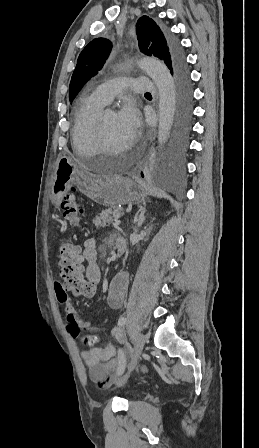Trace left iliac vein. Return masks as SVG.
Masks as SVG:
<instances>
[{
    "instance_id": "1",
    "label": "left iliac vein",
    "mask_w": 259,
    "mask_h": 448,
    "mask_svg": "<svg viewBox=\"0 0 259 448\" xmlns=\"http://www.w3.org/2000/svg\"><path fill=\"white\" fill-rule=\"evenodd\" d=\"M146 341H147V338H146L145 335L139 333L136 336L135 343H134V355L132 357V360H131V363H130V366H129V371H128V373L124 377H122L119 380V384H123V383H125L127 381L131 371L134 369V367L136 366V364H137V362H138V360L140 358L141 352H142V350L144 348V345H145Z\"/></svg>"
}]
</instances>
